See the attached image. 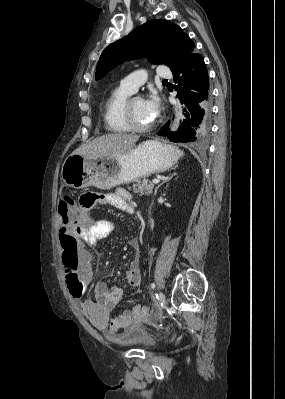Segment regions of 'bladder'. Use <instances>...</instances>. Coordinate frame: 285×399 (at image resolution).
I'll return each instance as SVG.
<instances>
[{"mask_svg": "<svg viewBox=\"0 0 285 399\" xmlns=\"http://www.w3.org/2000/svg\"><path fill=\"white\" fill-rule=\"evenodd\" d=\"M124 345L138 346L150 349L156 346V339L148 331L140 327L129 328L122 339Z\"/></svg>", "mask_w": 285, "mask_h": 399, "instance_id": "obj_1", "label": "bladder"}]
</instances>
